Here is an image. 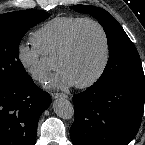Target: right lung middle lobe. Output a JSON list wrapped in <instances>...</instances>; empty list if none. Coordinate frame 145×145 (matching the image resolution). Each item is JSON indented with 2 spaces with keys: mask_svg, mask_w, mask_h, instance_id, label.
I'll list each match as a JSON object with an SVG mask.
<instances>
[{
  "mask_svg": "<svg viewBox=\"0 0 145 145\" xmlns=\"http://www.w3.org/2000/svg\"><path fill=\"white\" fill-rule=\"evenodd\" d=\"M48 17L34 9L0 15V86L23 84L29 78L19 60V44L31 27Z\"/></svg>",
  "mask_w": 145,
  "mask_h": 145,
  "instance_id": "right-lung-middle-lobe-1",
  "label": "right lung middle lobe"
}]
</instances>
